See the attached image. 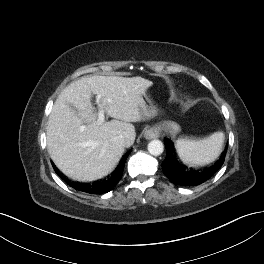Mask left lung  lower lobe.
<instances>
[{
	"label": "left lung lower lobe",
	"mask_w": 264,
	"mask_h": 264,
	"mask_svg": "<svg viewBox=\"0 0 264 264\" xmlns=\"http://www.w3.org/2000/svg\"><path fill=\"white\" fill-rule=\"evenodd\" d=\"M167 156L162 163V169L166 177L176 185L195 186L199 185L216 173L224 163L227 149H225L219 160L210 168L201 172L186 169L181 165L176 157L173 149V144L169 139L164 140Z\"/></svg>",
	"instance_id": "obj_1"
}]
</instances>
